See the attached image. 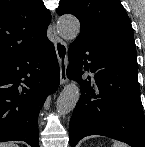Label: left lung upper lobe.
I'll return each instance as SVG.
<instances>
[{"label":"left lung upper lobe","mask_w":145,"mask_h":147,"mask_svg":"<svg viewBox=\"0 0 145 147\" xmlns=\"http://www.w3.org/2000/svg\"><path fill=\"white\" fill-rule=\"evenodd\" d=\"M58 15H75L80 35L92 42L121 43L135 47L130 19L119 0H60Z\"/></svg>","instance_id":"obj_1"}]
</instances>
